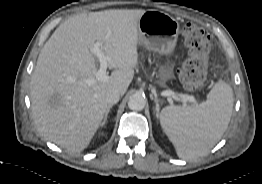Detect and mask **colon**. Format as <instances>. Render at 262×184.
Segmentation results:
<instances>
[{
    "instance_id": "1",
    "label": "colon",
    "mask_w": 262,
    "mask_h": 184,
    "mask_svg": "<svg viewBox=\"0 0 262 184\" xmlns=\"http://www.w3.org/2000/svg\"><path fill=\"white\" fill-rule=\"evenodd\" d=\"M187 58L180 69V80L185 89L196 91L205 84L208 71L210 36L194 24H186L182 30Z\"/></svg>"
}]
</instances>
